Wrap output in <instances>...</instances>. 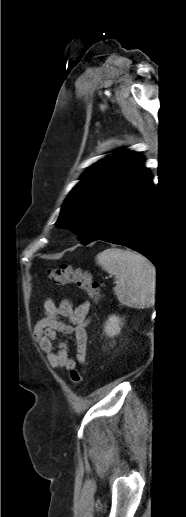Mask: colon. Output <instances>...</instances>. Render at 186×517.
Segmentation results:
<instances>
[{"mask_svg": "<svg viewBox=\"0 0 186 517\" xmlns=\"http://www.w3.org/2000/svg\"><path fill=\"white\" fill-rule=\"evenodd\" d=\"M48 276L53 284L59 286L75 284L77 287L84 290L87 295L95 301L99 300L101 297L99 282L92 280L79 268L64 264L59 267L50 269ZM70 378L74 385H79L83 381L82 373L76 368L71 369Z\"/></svg>", "mask_w": 186, "mask_h": 517, "instance_id": "1", "label": "colon"}]
</instances>
